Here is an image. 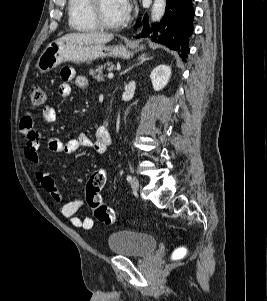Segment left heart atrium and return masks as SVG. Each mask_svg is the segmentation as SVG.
I'll use <instances>...</instances> for the list:
<instances>
[{"instance_id": "obj_1", "label": "left heart atrium", "mask_w": 267, "mask_h": 301, "mask_svg": "<svg viewBox=\"0 0 267 301\" xmlns=\"http://www.w3.org/2000/svg\"><path fill=\"white\" fill-rule=\"evenodd\" d=\"M122 2H123V5L125 7V10L128 12V10H129L128 0H122Z\"/></svg>"}]
</instances>
